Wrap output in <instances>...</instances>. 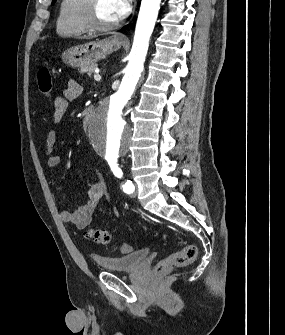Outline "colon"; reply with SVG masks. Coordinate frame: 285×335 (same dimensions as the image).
<instances>
[{"mask_svg": "<svg viewBox=\"0 0 285 335\" xmlns=\"http://www.w3.org/2000/svg\"><path fill=\"white\" fill-rule=\"evenodd\" d=\"M38 87L44 98L49 99L53 91L52 72L48 62H45L37 73ZM87 237L101 245H109L112 242V237L109 231L101 228H91L86 233ZM117 250L123 254L132 251V247L128 243H121L116 246ZM197 255L195 245L188 244L177 252L171 253L155 267L157 275H164L174 267H182L192 263Z\"/></svg>", "mask_w": 285, "mask_h": 335, "instance_id": "5ec220e1", "label": "colon"}]
</instances>
